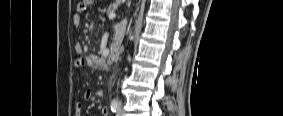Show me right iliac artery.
Instances as JSON below:
<instances>
[{"mask_svg": "<svg viewBox=\"0 0 283 116\" xmlns=\"http://www.w3.org/2000/svg\"><path fill=\"white\" fill-rule=\"evenodd\" d=\"M111 110H112V112H116L118 110V103L117 102L111 103Z\"/></svg>", "mask_w": 283, "mask_h": 116, "instance_id": "right-iliac-artery-1", "label": "right iliac artery"}]
</instances>
